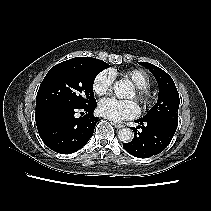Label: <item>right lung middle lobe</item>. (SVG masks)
I'll use <instances>...</instances> for the list:
<instances>
[{
  "label": "right lung middle lobe",
  "instance_id": "right-lung-middle-lobe-1",
  "mask_svg": "<svg viewBox=\"0 0 211 211\" xmlns=\"http://www.w3.org/2000/svg\"><path fill=\"white\" fill-rule=\"evenodd\" d=\"M108 67L109 64L92 57H75L55 65L39 87L36 106L84 107L95 103V77Z\"/></svg>",
  "mask_w": 211,
  "mask_h": 211
}]
</instances>
